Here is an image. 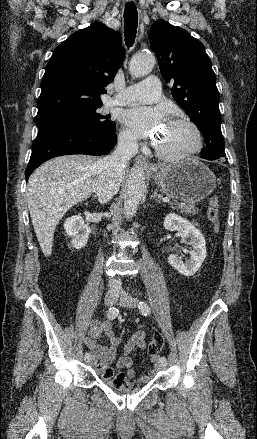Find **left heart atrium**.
<instances>
[{"label":"left heart atrium","mask_w":257,"mask_h":439,"mask_svg":"<svg viewBox=\"0 0 257 439\" xmlns=\"http://www.w3.org/2000/svg\"><path fill=\"white\" fill-rule=\"evenodd\" d=\"M162 119L163 110L160 108L137 107L125 111L122 115L123 122L142 136L155 132Z\"/></svg>","instance_id":"39dd6f15"}]
</instances>
